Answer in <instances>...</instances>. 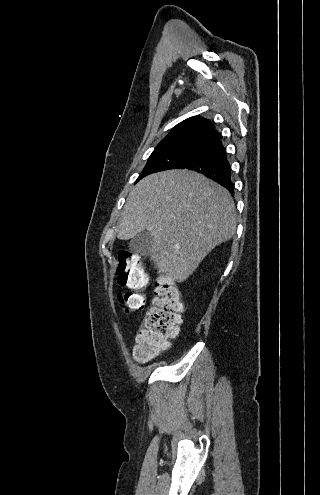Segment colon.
Wrapping results in <instances>:
<instances>
[{
    "instance_id": "1",
    "label": "colon",
    "mask_w": 320,
    "mask_h": 495,
    "mask_svg": "<svg viewBox=\"0 0 320 495\" xmlns=\"http://www.w3.org/2000/svg\"><path fill=\"white\" fill-rule=\"evenodd\" d=\"M116 276L118 283L129 289L118 295L125 312L143 309L145 302L141 291L147 287L149 280L138 256L120 250ZM182 312L183 303L175 284L166 278H159L152 304L136 336L133 356L137 362H146L168 347L169 339L179 332Z\"/></svg>"
}]
</instances>
